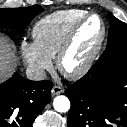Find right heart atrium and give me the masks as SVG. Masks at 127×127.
<instances>
[{"instance_id": "d8ad5b80", "label": "right heart atrium", "mask_w": 127, "mask_h": 127, "mask_svg": "<svg viewBox=\"0 0 127 127\" xmlns=\"http://www.w3.org/2000/svg\"><path fill=\"white\" fill-rule=\"evenodd\" d=\"M20 50L28 70L36 77H42L45 71L51 68V59L45 56L34 42L22 41Z\"/></svg>"}]
</instances>
